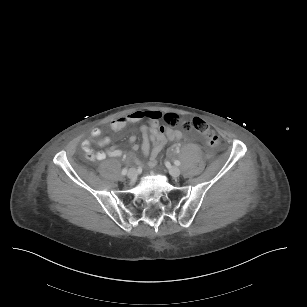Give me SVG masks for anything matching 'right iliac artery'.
<instances>
[{
  "label": "right iliac artery",
  "instance_id": "82829eb1",
  "mask_svg": "<svg viewBox=\"0 0 307 307\" xmlns=\"http://www.w3.org/2000/svg\"><path fill=\"white\" fill-rule=\"evenodd\" d=\"M121 174L126 175L127 174V168L122 169Z\"/></svg>",
  "mask_w": 307,
  "mask_h": 307
}]
</instances>
